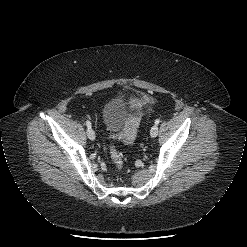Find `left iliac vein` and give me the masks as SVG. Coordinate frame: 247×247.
I'll return each mask as SVG.
<instances>
[{
  "label": "left iliac vein",
  "mask_w": 247,
  "mask_h": 247,
  "mask_svg": "<svg viewBox=\"0 0 247 247\" xmlns=\"http://www.w3.org/2000/svg\"><path fill=\"white\" fill-rule=\"evenodd\" d=\"M150 135L152 138L158 135V126L156 124L151 127Z\"/></svg>",
  "instance_id": "left-iliac-vein-1"
}]
</instances>
